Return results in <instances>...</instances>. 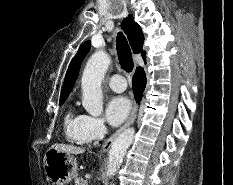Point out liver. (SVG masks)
I'll list each match as a JSON object with an SVG mask.
<instances>
[{
  "label": "liver",
  "instance_id": "liver-1",
  "mask_svg": "<svg viewBox=\"0 0 233 185\" xmlns=\"http://www.w3.org/2000/svg\"><path fill=\"white\" fill-rule=\"evenodd\" d=\"M52 148L57 149L58 151L66 152L68 154H83L85 152V149L79 148L72 145H66V144H54L52 145Z\"/></svg>",
  "mask_w": 233,
  "mask_h": 185
}]
</instances>
